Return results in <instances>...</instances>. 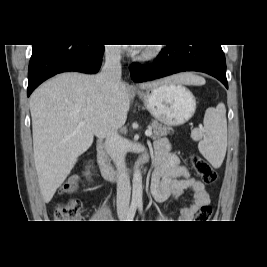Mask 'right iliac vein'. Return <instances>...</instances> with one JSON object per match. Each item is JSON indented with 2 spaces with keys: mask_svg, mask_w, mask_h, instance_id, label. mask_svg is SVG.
<instances>
[{
  "mask_svg": "<svg viewBox=\"0 0 267 267\" xmlns=\"http://www.w3.org/2000/svg\"><path fill=\"white\" fill-rule=\"evenodd\" d=\"M118 215H119V218L120 219H125L126 218V215H127V212L126 211H120L118 213Z\"/></svg>",
  "mask_w": 267,
  "mask_h": 267,
  "instance_id": "63e3f726",
  "label": "right iliac vein"
}]
</instances>
